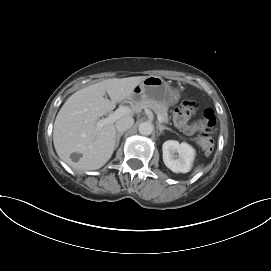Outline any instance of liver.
Here are the masks:
<instances>
[{"mask_svg": "<svg viewBox=\"0 0 271 271\" xmlns=\"http://www.w3.org/2000/svg\"><path fill=\"white\" fill-rule=\"evenodd\" d=\"M146 76L111 78L78 90L58 112L53 128L55 150L65 163L77 170H96L111 158L116 142L115 124L97 130V120L116 103L132 100L134 89ZM108 94L110 99L104 98ZM130 116L126 114L122 117ZM81 154L77 162L70 155Z\"/></svg>", "mask_w": 271, "mask_h": 271, "instance_id": "liver-1", "label": "liver"}]
</instances>
